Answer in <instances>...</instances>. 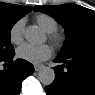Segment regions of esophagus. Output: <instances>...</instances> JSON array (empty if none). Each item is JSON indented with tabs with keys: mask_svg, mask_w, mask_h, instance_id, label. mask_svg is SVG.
Wrapping results in <instances>:
<instances>
[{
	"mask_svg": "<svg viewBox=\"0 0 95 95\" xmlns=\"http://www.w3.org/2000/svg\"><path fill=\"white\" fill-rule=\"evenodd\" d=\"M43 67V65H34L35 71H39L41 68Z\"/></svg>",
	"mask_w": 95,
	"mask_h": 95,
	"instance_id": "34e87169",
	"label": "esophagus"
}]
</instances>
